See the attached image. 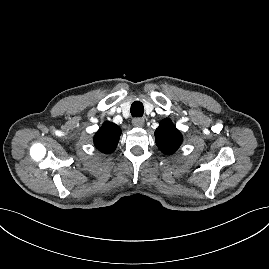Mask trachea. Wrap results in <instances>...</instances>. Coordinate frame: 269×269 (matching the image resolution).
<instances>
[{
    "label": "trachea",
    "instance_id": "obj_1",
    "mask_svg": "<svg viewBox=\"0 0 269 269\" xmlns=\"http://www.w3.org/2000/svg\"><path fill=\"white\" fill-rule=\"evenodd\" d=\"M130 111L133 117H142L144 113L143 104L140 101L133 102Z\"/></svg>",
    "mask_w": 269,
    "mask_h": 269
}]
</instances>
